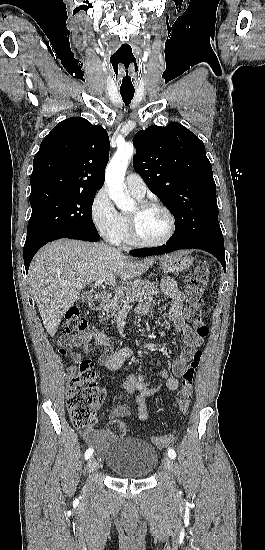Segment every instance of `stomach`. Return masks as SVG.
Returning a JSON list of instances; mask_svg holds the SVG:
<instances>
[{"instance_id":"obj_1","label":"stomach","mask_w":265,"mask_h":550,"mask_svg":"<svg viewBox=\"0 0 265 550\" xmlns=\"http://www.w3.org/2000/svg\"><path fill=\"white\" fill-rule=\"evenodd\" d=\"M193 264V258L182 251L164 255L160 258V268L164 273H179Z\"/></svg>"}]
</instances>
